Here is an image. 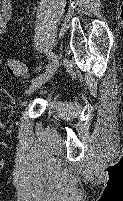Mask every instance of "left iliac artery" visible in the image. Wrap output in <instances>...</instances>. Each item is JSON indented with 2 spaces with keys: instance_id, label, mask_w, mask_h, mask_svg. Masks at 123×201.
Returning a JSON list of instances; mask_svg holds the SVG:
<instances>
[{
  "instance_id": "1",
  "label": "left iliac artery",
  "mask_w": 123,
  "mask_h": 201,
  "mask_svg": "<svg viewBox=\"0 0 123 201\" xmlns=\"http://www.w3.org/2000/svg\"><path fill=\"white\" fill-rule=\"evenodd\" d=\"M48 57L52 61V63H55L57 61V56L52 52L48 53Z\"/></svg>"
}]
</instances>
